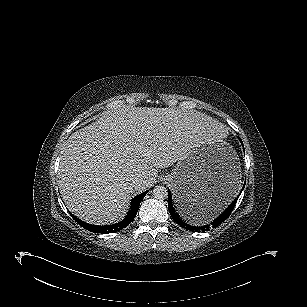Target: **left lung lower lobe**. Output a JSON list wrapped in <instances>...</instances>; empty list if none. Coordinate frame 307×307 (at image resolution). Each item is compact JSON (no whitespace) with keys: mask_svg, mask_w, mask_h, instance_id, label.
Here are the masks:
<instances>
[{"mask_svg":"<svg viewBox=\"0 0 307 307\" xmlns=\"http://www.w3.org/2000/svg\"><path fill=\"white\" fill-rule=\"evenodd\" d=\"M238 198H239V196L229 205V207L219 217H217L213 222H211L210 224H207L205 226H191V225L185 223L184 221H182L178 217V215L175 213V211H174V209L172 207V199H171L170 191H168V209H169V212H170V215L172 216V218L181 227H183V228H185V229H187L189 231H194V232H201L202 231V232H205V231H209L211 228H215L216 226L221 224L223 221H225L230 216V214H231V212H232V210H233V208H234Z\"/></svg>","mask_w":307,"mask_h":307,"instance_id":"0a47b994","label":"left lung lower lobe"}]
</instances>
